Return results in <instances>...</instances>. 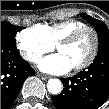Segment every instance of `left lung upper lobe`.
<instances>
[{"label": "left lung upper lobe", "instance_id": "1", "mask_svg": "<svg viewBox=\"0 0 109 109\" xmlns=\"http://www.w3.org/2000/svg\"><path fill=\"white\" fill-rule=\"evenodd\" d=\"M80 16L87 20L96 30L99 39V51L109 50V29L101 20L95 19L85 13Z\"/></svg>", "mask_w": 109, "mask_h": 109}]
</instances>
